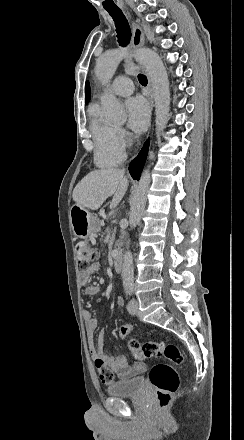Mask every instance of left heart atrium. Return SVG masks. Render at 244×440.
Masks as SVG:
<instances>
[{"instance_id":"1","label":"left heart atrium","mask_w":244,"mask_h":440,"mask_svg":"<svg viewBox=\"0 0 244 440\" xmlns=\"http://www.w3.org/2000/svg\"><path fill=\"white\" fill-rule=\"evenodd\" d=\"M126 107L128 126L136 132L144 131L150 118V111L146 101L142 97H133L127 101Z\"/></svg>"}]
</instances>
